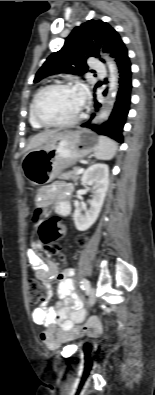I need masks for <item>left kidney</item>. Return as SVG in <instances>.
I'll use <instances>...</instances> for the list:
<instances>
[{
  "mask_svg": "<svg viewBox=\"0 0 155 395\" xmlns=\"http://www.w3.org/2000/svg\"><path fill=\"white\" fill-rule=\"evenodd\" d=\"M81 181L85 185L92 186L93 195L89 201L90 209L83 214L84 208L76 200L73 217L77 230L86 231L96 222L103 206L109 186V167L103 163L93 164L84 171Z\"/></svg>",
  "mask_w": 155,
  "mask_h": 395,
  "instance_id": "1",
  "label": "left kidney"
}]
</instances>
